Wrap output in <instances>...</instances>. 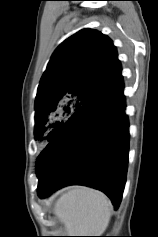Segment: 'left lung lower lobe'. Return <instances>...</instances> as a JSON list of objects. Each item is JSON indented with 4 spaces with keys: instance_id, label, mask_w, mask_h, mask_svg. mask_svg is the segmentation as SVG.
Here are the masks:
<instances>
[{
    "instance_id": "obj_1",
    "label": "left lung lower lobe",
    "mask_w": 158,
    "mask_h": 237,
    "mask_svg": "<svg viewBox=\"0 0 158 237\" xmlns=\"http://www.w3.org/2000/svg\"><path fill=\"white\" fill-rule=\"evenodd\" d=\"M123 81L79 108L41 152L38 196L67 185H85L106 193L118 208L126 181L129 130Z\"/></svg>"
}]
</instances>
